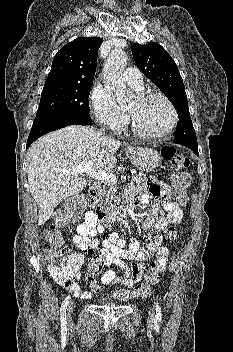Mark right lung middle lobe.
<instances>
[{
	"mask_svg": "<svg viewBox=\"0 0 233 352\" xmlns=\"http://www.w3.org/2000/svg\"><path fill=\"white\" fill-rule=\"evenodd\" d=\"M91 87H44L33 124L70 116L90 117L88 97Z\"/></svg>",
	"mask_w": 233,
	"mask_h": 352,
	"instance_id": "1",
	"label": "right lung middle lobe"
}]
</instances>
